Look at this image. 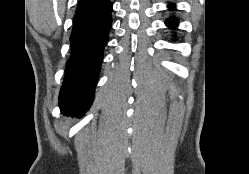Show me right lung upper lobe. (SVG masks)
Instances as JSON below:
<instances>
[{"instance_id": "cb5924a9", "label": "right lung upper lobe", "mask_w": 249, "mask_h": 174, "mask_svg": "<svg viewBox=\"0 0 249 174\" xmlns=\"http://www.w3.org/2000/svg\"><path fill=\"white\" fill-rule=\"evenodd\" d=\"M92 1H94V0H79V5L78 6L85 5V4H87L89 2H92Z\"/></svg>"}]
</instances>
